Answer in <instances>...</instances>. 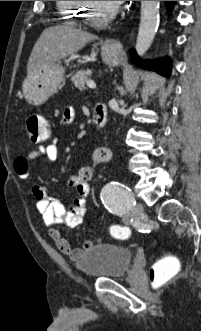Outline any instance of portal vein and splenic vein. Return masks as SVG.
I'll return each mask as SVG.
<instances>
[{
	"label": "portal vein and splenic vein",
	"instance_id": "18ae733b",
	"mask_svg": "<svg viewBox=\"0 0 201 331\" xmlns=\"http://www.w3.org/2000/svg\"><path fill=\"white\" fill-rule=\"evenodd\" d=\"M87 86L89 88H92V89H95L96 88V84L94 83V81L90 80V81H87Z\"/></svg>",
	"mask_w": 201,
	"mask_h": 331
}]
</instances>
